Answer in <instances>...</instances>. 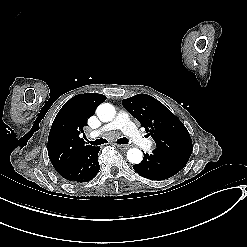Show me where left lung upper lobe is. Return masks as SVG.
Segmentation results:
<instances>
[{
    "instance_id": "5c2ea615",
    "label": "left lung upper lobe",
    "mask_w": 247,
    "mask_h": 247,
    "mask_svg": "<svg viewBox=\"0 0 247 247\" xmlns=\"http://www.w3.org/2000/svg\"><path fill=\"white\" fill-rule=\"evenodd\" d=\"M123 106L145 128L156 149L188 162L192 140L183 123L160 101L147 94L123 99Z\"/></svg>"
}]
</instances>
